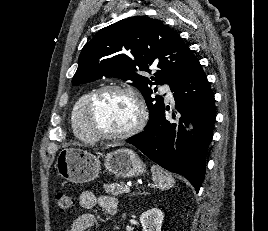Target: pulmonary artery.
<instances>
[{
  "label": "pulmonary artery",
  "mask_w": 268,
  "mask_h": 231,
  "mask_svg": "<svg viewBox=\"0 0 268 231\" xmlns=\"http://www.w3.org/2000/svg\"><path fill=\"white\" fill-rule=\"evenodd\" d=\"M161 91L165 93L166 99L169 101L173 100V93L168 85H162Z\"/></svg>",
  "instance_id": "1"
}]
</instances>
